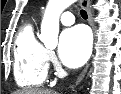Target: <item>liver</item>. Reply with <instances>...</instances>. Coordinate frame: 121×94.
Masks as SVG:
<instances>
[{"mask_svg": "<svg viewBox=\"0 0 121 94\" xmlns=\"http://www.w3.org/2000/svg\"><path fill=\"white\" fill-rule=\"evenodd\" d=\"M15 94H58L56 91L47 89H25L17 91Z\"/></svg>", "mask_w": 121, "mask_h": 94, "instance_id": "1", "label": "liver"}]
</instances>
